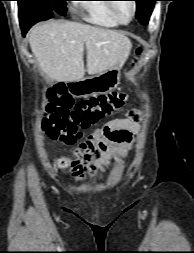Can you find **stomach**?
Wrapping results in <instances>:
<instances>
[{
	"label": "stomach",
	"mask_w": 194,
	"mask_h": 253,
	"mask_svg": "<svg viewBox=\"0 0 194 253\" xmlns=\"http://www.w3.org/2000/svg\"><path fill=\"white\" fill-rule=\"evenodd\" d=\"M122 65V62H118L114 67L95 76L70 82V93L75 97H88L114 90L120 81V69Z\"/></svg>",
	"instance_id": "0dacf381"
}]
</instances>
